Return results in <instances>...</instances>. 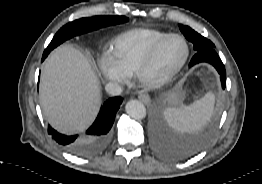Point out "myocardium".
Here are the masks:
<instances>
[{
	"mask_svg": "<svg viewBox=\"0 0 262 184\" xmlns=\"http://www.w3.org/2000/svg\"><path fill=\"white\" fill-rule=\"evenodd\" d=\"M173 38L180 39L185 46V54L182 60L170 71L160 75V76H152L151 69L160 53L164 45ZM190 54V49L188 42L186 39L179 34H168L163 37L160 41H158L148 52L142 62L138 65L134 75L136 80L144 87L147 88H159L167 83H169L172 79L176 77V75L181 71V69L186 64Z\"/></svg>",
	"mask_w": 262,
	"mask_h": 184,
	"instance_id": "1",
	"label": "myocardium"
}]
</instances>
